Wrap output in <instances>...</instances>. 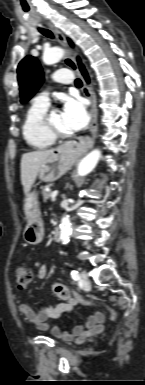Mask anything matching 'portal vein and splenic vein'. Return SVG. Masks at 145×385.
<instances>
[{
  "label": "portal vein and splenic vein",
  "mask_w": 145,
  "mask_h": 385,
  "mask_svg": "<svg viewBox=\"0 0 145 385\" xmlns=\"http://www.w3.org/2000/svg\"><path fill=\"white\" fill-rule=\"evenodd\" d=\"M57 195H58V191L57 190L53 191L52 194H51V199L55 200Z\"/></svg>",
  "instance_id": "portal-vein-and-splenic-vein-1"
}]
</instances>
